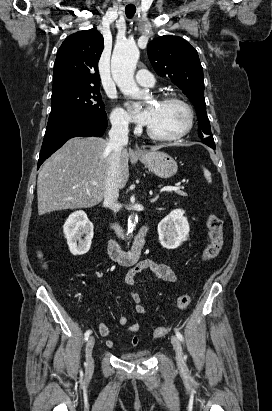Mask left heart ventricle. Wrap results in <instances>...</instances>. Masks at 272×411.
Masks as SVG:
<instances>
[{"instance_id": "1", "label": "left heart ventricle", "mask_w": 272, "mask_h": 411, "mask_svg": "<svg viewBox=\"0 0 272 411\" xmlns=\"http://www.w3.org/2000/svg\"><path fill=\"white\" fill-rule=\"evenodd\" d=\"M153 115L149 128L156 134L171 136L181 132L188 122L184 107L177 103H152Z\"/></svg>"}]
</instances>
